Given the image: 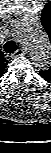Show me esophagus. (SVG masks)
Here are the masks:
<instances>
[{"label": "esophagus", "instance_id": "obj_1", "mask_svg": "<svg viewBox=\"0 0 51 153\" xmlns=\"http://www.w3.org/2000/svg\"><path fill=\"white\" fill-rule=\"evenodd\" d=\"M24 51L22 49H18L12 54V57H17L23 55Z\"/></svg>", "mask_w": 51, "mask_h": 153}]
</instances>
